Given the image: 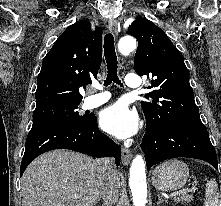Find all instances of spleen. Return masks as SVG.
I'll return each mask as SVG.
<instances>
[{
  "label": "spleen",
  "instance_id": "1",
  "mask_svg": "<svg viewBox=\"0 0 221 206\" xmlns=\"http://www.w3.org/2000/svg\"><path fill=\"white\" fill-rule=\"evenodd\" d=\"M206 200L203 206H221L219 200L218 184L215 179H210L206 184Z\"/></svg>",
  "mask_w": 221,
  "mask_h": 206
}]
</instances>
